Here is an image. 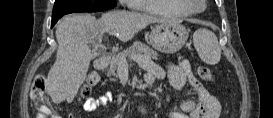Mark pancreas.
Returning <instances> with one entry per match:
<instances>
[{
  "label": "pancreas",
  "instance_id": "obj_1",
  "mask_svg": "<svg viewBox=\"0 0 273 118\" xmlns=\"http://www.w3.org/2000/svg\"><path fill=\"white\" fill-rule=\"evenodd\" d=\"M133 54H140L154 60L158 58L157 52L149 46L141 42H134L129 48L112 57L108 70V76L114 77L110 78L111 81H116L120 66L123 63L128 64V61L131 60L130 56Z\"/></svg>",
  "mask_w": 273,
  "mask_h": 118
}]
</instances>
